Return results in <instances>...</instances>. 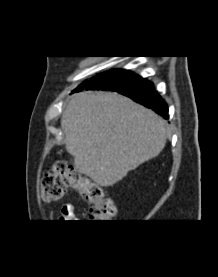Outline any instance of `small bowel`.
Instances as JSON below:
<instances>
[{
    "mask_svg": "<svg viewBox=\"0 0 218 277\" xmlns=\"http://www.w3.org/2000/svg\"><path fill=\"white\" fill-rule=\"evenodd\" d=\"M58 214L61 222H75L74 220L77 219L75 215V207L71 203L63 204L59 208Z\"/></svg>",
    "mask_w": 218,
    "mask_h": 277,
    "instance_id": "small-bowel-1",
    "label": "small bowel"
}]
</instances>
